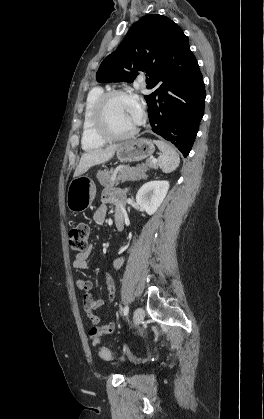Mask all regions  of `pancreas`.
Returning a JSON list of instances; mask_svg holds the SVG:
<instances>
[{
    "instance_id": "pancreas-1",
    "label": "pancreas",
    "mask_w": 264,
    "mask_h": 419,
    "mask_svg": "<svg viewBox=\"0 0 264 419\" xmlns=\"http://www.w3.org/2000/svg\"><path fill=\"white\" fill-rule=\"evenodd\" d=\"M149 168H157V165L150 159L145 164L138 165L136 167H118L116 169H105L98 171L97 179L102 186L106 189H112L118 184L120 180L136 181L141 178H146V172ZM119 172V173H118ZM118 173V176L114 178V175Z\"/></svg>"
}]
</instances>
